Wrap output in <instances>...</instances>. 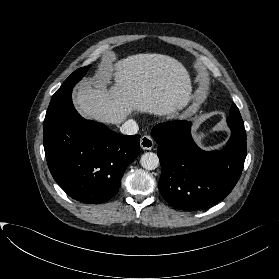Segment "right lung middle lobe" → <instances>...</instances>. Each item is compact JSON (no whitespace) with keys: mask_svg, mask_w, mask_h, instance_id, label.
Instances as JSON below:
<instances>
[{"mask_svg":"<svg viewBox=\"0 0 279 279\" xmlns=\"http://www.w3.org/2000/svg\"><path fill=\"white\" fill-rule=\"evenodd\" d=\"M89 66L81 67L75 70L61 85V87L53 95L51 102L49 104L46 117L51 116L62 106L68 103L71 100V93L74 85L80 81V79L86 74Z\"/></svg>","mask_w":279,"mask_h":279,"instance_id":"obj_1","label":"right lung middle lobe"}]
</instances>
